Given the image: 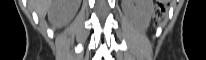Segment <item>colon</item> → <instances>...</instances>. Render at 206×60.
<instances>
[{"label": "colon", "instance_id": "colon-1", "mask_svg": "<svg viewBox=\"0 0 206 60\" xmlns=\"http://www.w3.org/2000/svg\"><path fill=\"white\" fill-rule=\"evenodd\" d=\"M165 9H166L165 3L163 1L159 2L158 5L156 6L155 13H154L156 20L161 19L162 15L165 12Z\"/></svg>", "mask_w": 206, "mask_h": 60}]
</instances>
